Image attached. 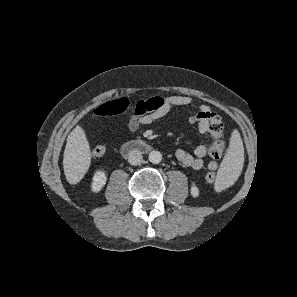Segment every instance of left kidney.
I'll return each mask as SVG.
<instances>
[{
    "label": "left kidney",
    "mask_w": 297,
    "mask_h": 297,
    "mask_svg": "<svg viewBox=\"0 0 297 297\" xmlns=\"http://www.w3.org/2000/svg\"><path fill=\"white\" fill-rule=\"evenodd\" d=\"M191 195L193 197H197L199 195V189L198 187L195 185L194 182H192V186H191Z\"/></svg>",
    "instance_id": "left-kidney-1"
}]
</instances>
